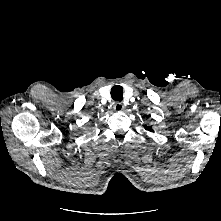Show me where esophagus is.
Segmentation results:
<instances>
[{
    "label": "esophagus",
    "instance_id": "34e87169",
    "mask_svg": "<svg viewBox=\"0 0 221 221\" xmlns=\"http://www.w3.org/2000/svg\"><path fill=\"white\" fill-rule=\"evenodd\" d=\"M113 108L116 112H121L124 110V105L121 102H116Z\"/></svg>",
    "mask_w": 221,
    "mask_h": 221
}]
</instances>
